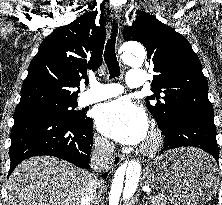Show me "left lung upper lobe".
Here are the masks:
<instances>
[{
    "label": "left lung upper lobe",
    "mask_w": 222,
    "mask_h": 205,
    "mask_svg": "<svg viewBox=\"0 0 222 205\" xmlns=\"http://www.w3.org/2000/svg\"><path fill=\"white\" fill-rule=\"evenodd\" d=\"M123 34L126 41L146 47L154 72V94L146 104L161 130L170 128L175 117L188 110L214 114L201 62L185 37L145 12H139Z\"/></svg>",
    "instance_id": "obj_1"
}]
</instances>
